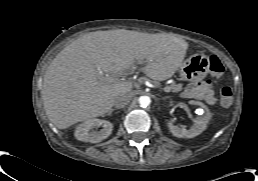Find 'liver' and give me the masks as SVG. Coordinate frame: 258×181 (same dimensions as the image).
Wrapping results in <instances>:
<instances>
[{"mask_svg": "<svg viewBox=\"0 0 258 181\" xmlns=\"http://www.w3.org/2000/svg\"><path fill=\"white\" fill-rule=\"evenodd\" d=\"M187 48V42L168 34L124 29L86 34L66 46L45 72L41 94L46 115L58 129L104 115L117 96L133 88L130 79L116 77L145 64L149 78L169 79Z\"/></svg>", "mask_w": 258, "mask_h": 181, "instance_id": "obj_1", "label": "liver"}]
</instances>
